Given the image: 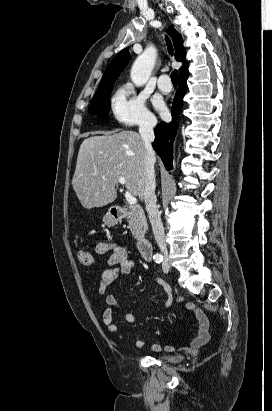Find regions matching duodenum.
Listing matches in <instances>:
<instances>
[{
  "label": "duodenum",
  "mask_w": 272,
  "mask_h": 411,
  "mask_svg": "<svg viewBox=\"0 0 272 411\" xmlns=\"http://www.w3.org/2000/svg\"><path fill=\"white\" fill-rule=\"evenodd\" d=\"M127 208L125 207H121V206H113L110 209L111 214L113 215V217L117 220H120L122 218H124V216L127 213ZM137 248L138 251L140 252L141 256L147 260L150 261L151 257H152V248L148 242V240L145 237H140L137 240Z\"/></svg>",
  "instance_id": "410a0bca"
}]
</instances>
